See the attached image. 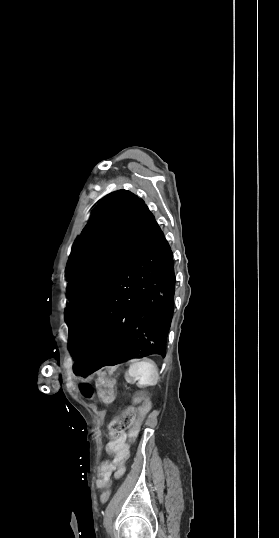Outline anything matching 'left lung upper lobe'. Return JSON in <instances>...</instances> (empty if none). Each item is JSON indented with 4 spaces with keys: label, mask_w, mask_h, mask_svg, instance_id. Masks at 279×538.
Wrapping results in <instances>:
<instances>
[{
    "label": "left lung upper lobe",
    "mask_w": 279,
    "mask_h": 538,
    "mask_svg": "<svg viewBox=\"0 0 279 538\" xmlns=\"http://www.w3.org/2000/svg\"><path fill=\"white\" fill-rule=\"evenodd\" d=\"M154 223L144 201L129 191L119 190L99 201L66 267L69 332L85 320Z\"/></svg>",
    "instance_id": "obj_1"
}]
</instances>
